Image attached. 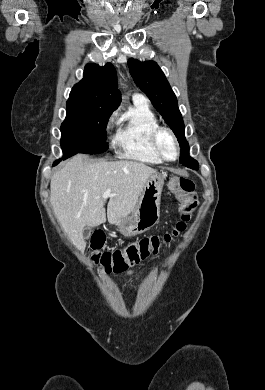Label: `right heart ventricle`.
<instances>
[{"label": "right heart ventricle", "mask_w": 265, "mask_h": 390, "mask_svg": "<svg viewBox=\"0 0 265 390\" xmlns=\"http://www.w3.org/2000/svg\"><path fill=\"white\" fill-rule=\"evenodd\" d=\"M157 126V117L148 104L134 102L118 120L113 137L117 154L124 159L161 164L162 160L150 143V134Z\"/></svg>", "instance_id": "1"}]
</instances>
